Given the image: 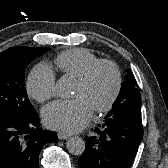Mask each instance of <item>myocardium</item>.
<instances>
[{
  "mask_svg": "<svg viewBox=\"0 0 168 168\" xmlns=\"http://www.w3.org/2000/svg\"><path fill=\"white\" fill-rule=\"evenodd\" d=\"M102 66L109 67L112 70L114 75V82L113 89L107 100L104 103L94 107V110L97 113H104L109 111L114 106L119 97L122 86V76L119 66L110 59H98L92 63L81 76L78 77V82L80 84L87 85L92 80L96 71Z\"/></svg>",
  "mask_w": 168,
  "mask_h": 168,
  "instance_id": "f54148a6",
  "label": "myocardium"
}]
</instances>
